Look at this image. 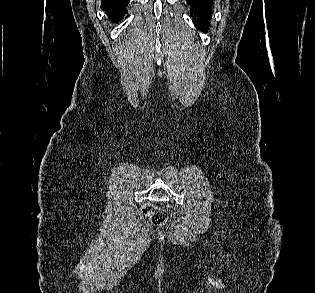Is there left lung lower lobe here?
Instances as JSON below:
<instances>
[{
    "mask_svg": "<svg viewBox=\"0 0 315 293\" xmlns=\"http://www.w3.org/2000/svg\"><path fill=\"white\" fill-rule=\"evenodd\" d=\"M192 6L191 12L196 16L195 23L202 31L207 30L208 16L212 0H186Z\"/></svg>",
    "mask_w": 315,
    "mask_h": 293,
    "instance_id": "0a47b994",
    "label": "left lung lower lobe"
}]
</instances>
